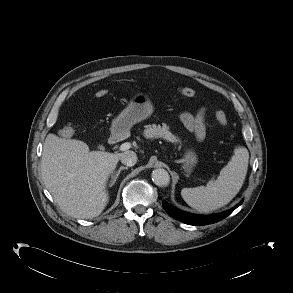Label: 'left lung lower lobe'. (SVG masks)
<instances>
[{
  "label": "left lung lower lobe",
  "mask_w": 293,
  "mask_h": 293,
  "mask_svg": "<svg viewBox=\"0 0 293 293\" xmlns=\"http://www.w3.org/2000/svg\"><path fill=\"white\" fill-rule=\"evenodd\" d=\"M243 201H241L239 204H237L235 207L232 209L219 213V214H214L210 216H203V215H194L190 213H186L183 211H180L176 209L175 207L169 205L166 201H163V207L166 210V212L173 218L189 224V225H206V224H211L218 222L222 220L223 218L227 217L229 214H231L239 205H241Z\"/></svg>",
  "instance_id": "obj_1"
}]
</instances>
